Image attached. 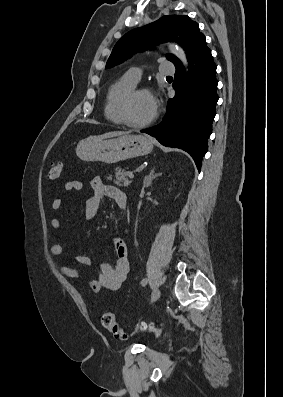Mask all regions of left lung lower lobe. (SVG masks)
<instances>
[{"label":"left lung lower lobe","instance_id":"left-lung-lower-lobe-1","mask_svg":"<svg viewBox=\"0 0 283 397\" xmlns=\"http://www.w3.org/2000/svg\"><path fill=\"white\" fill-rule=\"evenodd\" d=\"M188 62V76L182 63L175 66V96L168 100L163 121L141 132L155 137L164 146L188 152L200 171L216 115L218 82L216 65L206 44L193 51L188 56Z\"/></svg>","mask_w":283,"mask_h":397}]
</instances>
